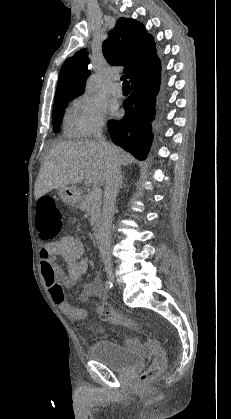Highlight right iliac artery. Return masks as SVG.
I'll list each match as a JSON object with an SVG mask.
<instances>
[{"label": "right iliac artery", "mask_w": 231, "mask_h": 419, "mask_svg": "<svg viewBox=\"0 0 231 419\" xmlns=\"http://www.w3.org/2000/svg\"><path fill=\"white\" fill-rule=\"evenodd\" d=\"M112 286H113L112 282H110V281H108V280L105 282V287H106V289H111V288H112Z\"/></svg>", "instance_id": "1"}]
</instances>
